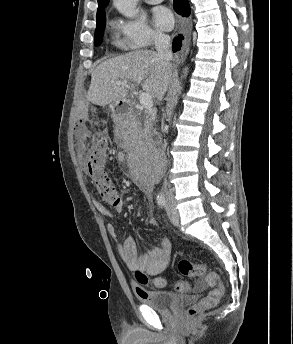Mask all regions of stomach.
<instances>
[{
  "label": "stomach",
  "instance_id": "0dacf381",
  "mask_svg": "<svg viewBox=\"0 0 293 344\" xmlns=\"http://www.w3.org/2000/svg\"><path fill=\"white\" fill-rule=\"evenodd\" d=\"M119 101L118 102H114V103H112L111 105H110V109L112 110V111H114L115 110V108L119 105Z\"/></svg>",
  "mask_w": 293,
  "mask_h": 344
}]
</instances>
